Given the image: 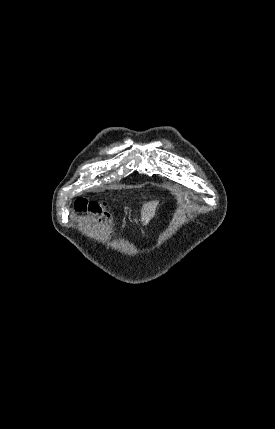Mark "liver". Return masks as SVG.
<instances>
[{"mask_svg":"<svg viewBox=\"0 0 275 429\" xmlns=\"http://www.w3.org/2000/svg\"><path fill=\"white\" fill-rule=\"evenodd\" d=\"M158 203V201H150L143 204L141 209V222L143 223V225H147L150 220L155 216V211Z\"/></svg>","mask_w":275,"mask_h":429,"instance_id":"1","label":"liver"}]
</instances>
